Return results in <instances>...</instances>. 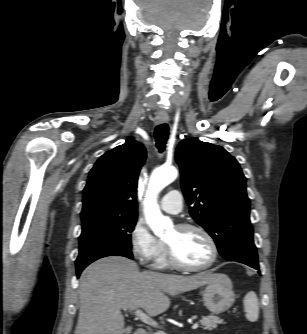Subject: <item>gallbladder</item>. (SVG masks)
<instances>
[{
	"mask_svg": "<svg viewBox=\"0 0 307 334\" xmlns=\"http://www.w3.org/2000/svg\"><path fill=\"white\" fill-rule=\"evenodd\" d=\"M131 329H132L131 327H128V328L126 329V331H125L126 334H129V333L131 332Z\"/></svg>",
	"mask_w": 307,
	"mask_h": 334,
	"instance_id": "gallbladder-1",
	"label": "gallbladder"
}]
</instances>
